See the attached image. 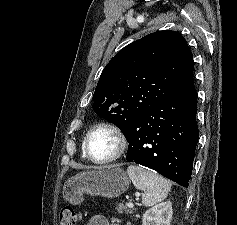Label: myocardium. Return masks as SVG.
Masks as SVG:
<instances>
[{
    "label": "myocardium",
    "mask_w": 237,
    "mask_h": 225,
    "mask_svg": "<svg viewBox=\"0 0 237 225\" xmlns=\"http://www.w3.org/2000/svg\"><path fill=\"white\" fill-rule=\"evenodd\" d=\"M97 131H106L113 135L116 141L114 152L106 158H95L89 150V142L91 136ZM128 146L127 138L123 131L116 125L108 122L98 123L94 125L85 135L83 142V150L88 159L97 164H109L118 160L126 151Z\"/></svg>",
    "instance_id": "f54148a6"
}]
</instances>
